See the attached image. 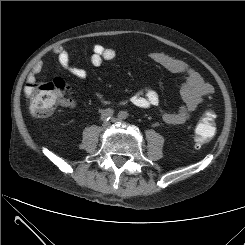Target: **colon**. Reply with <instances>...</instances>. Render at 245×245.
I'll return each instance as SVG.
<instances>
[{"mask_svg": "<svg viewBox=\"0 0 245 245\" xmlns=\"http://www.w3.org/2000/svg\"><path fill=\"white\" fill-rule=\"evenodd\" d=\"M65 87V82L59 78L46 82H28L25 93L31 113L37 117H46L57 105H70L71 101L64 96ZM216 118L215 112L208 110L197 123L194 134L196 147L200 148L213 138L216 131Z\"/></svg>", "mask_w": 245, "mask_h": 245, "instance_id": "1", "label": "colon"}]
</instances>
